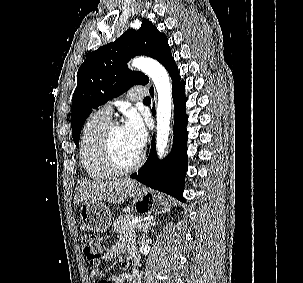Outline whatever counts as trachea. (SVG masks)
Listing matches in <instances>:
<instances>
[{"label": "trachea", "mask_w": 303, "mask_h": 283, "mask_svg": "<svg viewBox=\"0 0 303 283\" xmlns=\"http://www.w3.org/2000/svg\"><path fill=\"white\" fill-rule=\"evenodd\" d=\"M151 99L149 97L144 98L143 102H150Z\"/></svg>", "instance_id": "3493384b"}]
</instances>
